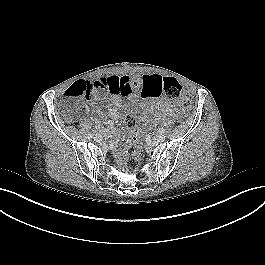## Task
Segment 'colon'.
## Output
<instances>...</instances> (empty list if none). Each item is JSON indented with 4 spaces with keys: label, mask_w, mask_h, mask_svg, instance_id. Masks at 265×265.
Returning a JSON list of instances; mask_svg holds the SVG:
<instances>
[{
    "label": "colon",
    "mask_w": 265,
    "mask_h": 265,
    "mask_svg": "<svg viewBox=\"0 0 265 265\" xmlns=\"http://www.w3.org/2000/svg\"><path fill=\"white\" fill-rule=\"evenodd\" d=\"M152 83L155 85L152 91L154 97L164 95L168 101L177 103L185 112L191 108V99L183 93L180 83L174 77H163L162 80H153ZM97 87H101V85L84 80L77 81L67 89L66 95L71 98L89 97L92 89ZM125 120L131 135L128 139L124 164L127 170L135 171L140 165V158L134 112H130Z\"/></svg>",
    "instance_id": "obj_1"
}]
</instances>
